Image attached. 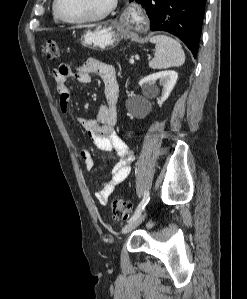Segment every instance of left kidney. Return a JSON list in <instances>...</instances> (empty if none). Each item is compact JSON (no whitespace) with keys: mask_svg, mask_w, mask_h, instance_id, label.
Masks as SVG:
<instances>
[{"mask_svg":"<svg viewBox=\"0 0 247 299\" xmlns=\"http://www.w3.org/2000/svg\"><path fill=\"white\" fill-rule=\"evenodd\" d=\"M178 79V73L173 70L161 71L158 73L151 74L145 77L141 81V85L146 88H154V84L159 80V84L163 87L162 89V100H166L171 91L173 90Z\"/></svg>","mask_w":247,"mask_h":299,"instance_id":"left-kidney-1","label":"left kidney"}]
</instances>
